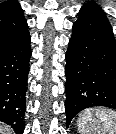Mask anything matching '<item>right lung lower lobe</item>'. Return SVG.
<instances>
[{
  "label": "right lung lower lobe",
  "mask_w": 116,
  "mask_h": 134,
  "mask_svg": "<svg viewBox=\"0 0 116 134\" xmlns=\"http://www.w3.org/2000/svg\"><path fill=\"white\" fill-rule=\"evenodd\" d=\"M29 30L0 48V121L23 134L29 60Z\"/></svg>",
  "instance_id": "98d812e1"
}]
</instances>
